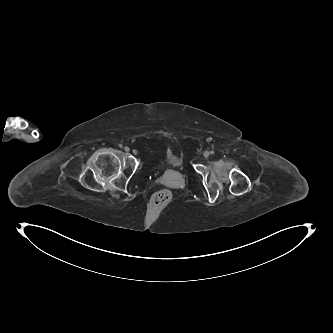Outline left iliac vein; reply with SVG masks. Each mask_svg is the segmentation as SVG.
Returning a JSON list of instances; mask_svg holds the SVG:
<instances>
[{
    "instance_id": "obj_1",
    "label": "left iliac vein",
    "mask_w": 333,
    "mask_h": 333,
    "mask_svg": "<svg viewBox=\"0 0 333 333\" xmlns=\"http://www.w3.org/2000/svg\"><path fill=\"white\" fill-rule=\"evenodd\" d=\"M210 155V153L208 152V151H205L204 153H203V156L204 157H208Z\"/></svg>"
}]
</instances>
